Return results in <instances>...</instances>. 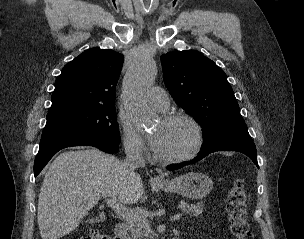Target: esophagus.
Returning <instances> with one entry per match:
<instances>
[{"label": "esophagus", "instance_id": "esophagus-1", "mask_svg": "<svg viewBox=\"0 0 304 239\" xmlns=\"http://www.w3.org/2000/svg\"><path fill=\"white\" fill-rule=\"evenodd\" d=\"M154 181L160 183V182L163 181V179H162V177H160V176H155V177H154Z\"/></svg>", "mask_w": 304, "mask_h": 239}]
</instances>
